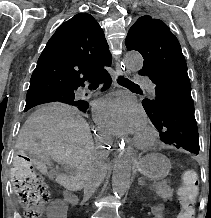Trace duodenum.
Listing matches in <instances>:
<instances>
[{"label": "duodenum", "mask_w": 211, "mask_h": 218, "mask_svg": "<svg viewBox=\"0 0 211 218\" xmlns=\"http://www.w3.org/2000/svg\"><path fill=\"white\" fill-rule=\"evenodd\" d=\"M65 200L66 202L75 207L77 205V197L70 191H65Z\"/></svg>", "instance_id": "duodenum-1"}]
</instances>
